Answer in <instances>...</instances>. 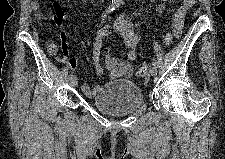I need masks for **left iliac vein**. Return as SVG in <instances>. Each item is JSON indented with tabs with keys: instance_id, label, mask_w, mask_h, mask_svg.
<instances>
[{
	"instance_id": "left-iliac-vein-1",
	"label": "left iliac vein",
	"mask_w": 225,
	"mask_h": 159,
	"mask_svg": "<svg viewBox=\"0 0 225 159\" xmlns=\"http://www.w3.org/2000/svg\"><path fill=\"white\" fill-rule=\"evenodd\" d=\"M150 73L152 76H156L157 75V67L152 66L150 69Z\"/></svg>"
}]
</instances>
